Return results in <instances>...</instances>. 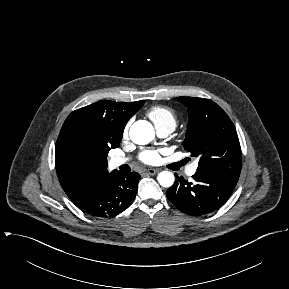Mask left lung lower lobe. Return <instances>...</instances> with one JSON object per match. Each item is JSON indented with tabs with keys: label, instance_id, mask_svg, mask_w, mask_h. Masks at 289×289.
<instances>
[{
	"label": "left lung lower lobe",
	"instance_id": "0a47b994",
	"mask_svg": "<svg viewBox=\"0 0 289 289\" xmlns=\"http://www.w3.org/2000/svg\"><path fill=\"white\" fill-rule=\"evenodd\" d=\"M167 190L168 199L182 212L200 216L219 209L233 193L237 182L210 172L197 171L193 181L176 176Z\"/></svg>",
	"mask_w": 289,
	"mask_h": 289
}]
</instances>
